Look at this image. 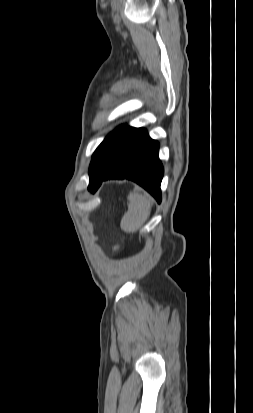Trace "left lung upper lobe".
Wrapping results in <instances>:
<instances>
[{
    "instance_id": "1",
    "label": "left lung upper lobe",
    "mask_w": 253,
    "mask_h": 413,
    "mask_svg": "<svg viewBox=\"0 0 253 413\" xmlns=\"http://www.w3.org/2000/svg\"><path fill=\"white\" fill-rule=\"evenodd\" d=\"M122 127L111 132L104 141L98 146L92 155L91 164L89 167V176L95 172L107 161L114 149L116 148L121 135L123 133Z\"/></svg>"
}]
</instances>
